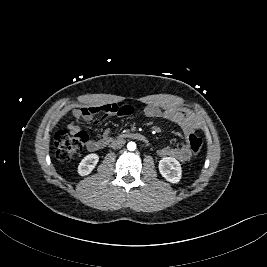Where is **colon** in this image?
Masks as SVG:
<instances>
[{
  "instance_id": "5ec220e1",
  "label": "colon",
  "mask_w": 267,
  "mask_h": 267,
  "mask_svg": "<svg viewBox=\"0 0 267 267\" xmlns=\"http://www.w3.org/2000/svg\"><path fill=\"white\" fill-rule=\"evenodd\" d=\"M87 140L88 136L82 130L74 132L68 127L57 131L54 136L56 159L60 162L70 161L82 151ZM188 145L192 153L198 154L202 150L203 141L199 136L191 134Z\"/></svg>"
}]
</instances>
